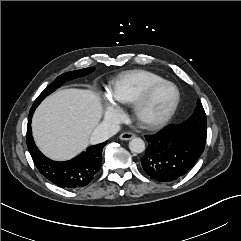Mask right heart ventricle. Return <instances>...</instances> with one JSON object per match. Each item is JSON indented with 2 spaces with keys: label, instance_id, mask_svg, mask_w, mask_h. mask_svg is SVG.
<instances>
[{
  "label": "right heart ventricle",
  "instance_id": "right-heart-ventricle-1",
  "mask_svg": "<svg viewBox=\"0 0 241 241\" xmlns=\"http://www.w3.org/2000/svg\"><path fill=\"white\" fill-rule=\"evenodd\" d=\"M162 80V76L147 70L124 72L113 83L111 99L116 105L131 106L151 85Z\"/></svg>",
  "mask_w": 241,
  "mask_h": 241
}]
</instances>
